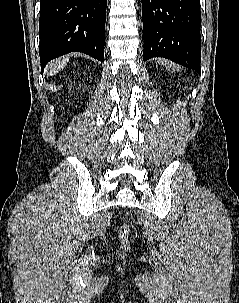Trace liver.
<instances>
[{
	"label": "liver",
	"instance_id": "6515ba94",
	"mask_svg": "<svg viewBox=\"0 0 239 303\" xmlns=\"http://www.w3.org/2000/svg\"><path fill=\"white\" fill-rule=\"evenodd\" d=\"M69 60V57H63L61 60L53 61L49 64V71L47 72V75H55L58 73L62 68H64Z\"/></svg>",
	"mask_w": 239,
	"mask_h": 303
}]
</instances>
